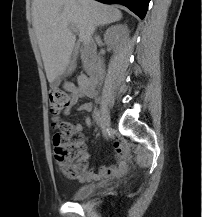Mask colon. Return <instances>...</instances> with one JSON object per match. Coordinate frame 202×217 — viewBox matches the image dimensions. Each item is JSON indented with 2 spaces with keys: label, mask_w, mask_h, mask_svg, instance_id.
Here are the masks:
<instances>
[{
  "label": "colon",
  "mask_w": 202,
  "mask_h": 217,
  "mask_svg": "<svg viewBox=\"0 0 202 217\" xmlns=\"http://www.w3.org/2000/svg\"><path fill=\"white\" fill-rule=\"evenodd\" d=\"M73 103L70 93L60 89L49 93V111L53 116L58 131L53 136V147L60 172L68 179L78 178L83 174L85 140L82 134L71 128V124L59 121L61 113Z\"/></svg>",
  "instance_id": "obj_1"
}]
</instances>
